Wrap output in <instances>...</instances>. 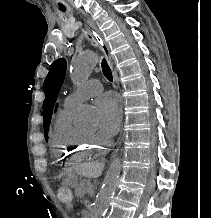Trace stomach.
Wrapping results in <instances>:
<instances>
[{"mask_svg": "<svg viewBox=\"0 0 211 218\" xmlns=\"http://www.w3.org/2000/svg\"><path fill=\"white\" fill-rule=\"evenodd\" d=\"M64 184L75 188L78 186V178L76 174H67L66 176H64Z\"/></svg>", "mask_w": 211, "mask_h": 218, "instance_id": "stomach-1", "label": "stomach"}]
</instances>
